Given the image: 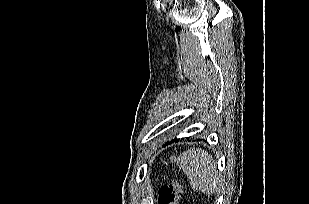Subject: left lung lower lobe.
<instances>
[{
  "instance_id": "0a47b994",
  "label": "left lung lower lobe",
  "mask_w": 309,
  "mask_h": 204,
  "mask_svg": "<svg viewBox=\"0 0 309 204\" xmlns=\"http://www.w3.org/2000/svg\"><path fill=\"white\" fill-rule=\"evenodd\" d=\"M173 141H178V140H172L171 142H173ZM166 144H169V142H168V143H166Z\"/></svg>"
}]
</instances>
